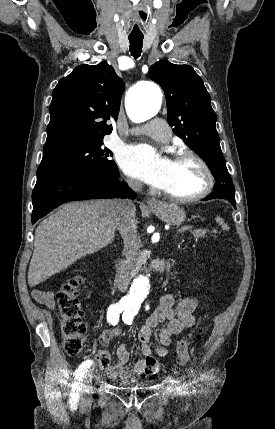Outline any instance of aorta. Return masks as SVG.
Masks as SVG:
<instances>
[{"instance_id": "762f6f07", "label": "aorta", "mask_w": 275, "mask_h": 429, "mask_svg": "<svg viewBox=\"0 0 275 429\" xmlns=\"http://www.w3.org/2000/svg\"><path fill=\"white\" fill-rule=\"evenodd\" d=\"M162 92L154 83H142L131 89L126 99V108L129 117L134 122H142L155 116L162 104ZM150 290L148 277L138 276L126 300L130 304H140L147 297Z\"/></svg>"}]
</instances>
